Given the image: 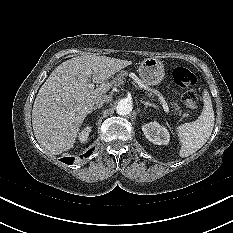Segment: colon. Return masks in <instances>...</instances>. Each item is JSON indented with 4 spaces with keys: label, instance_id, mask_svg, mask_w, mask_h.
<instances>
[{
    "label": "colon",
    "instance_id": "5ec220e1",
    "mask_svg": "<svg viewBox=\"0 0 233 233\" xmlns=\"http://www.w3.org/2000/svg\"><path fill=\"white\" fill-rule=\"evenodd\" d=\"M172 77L177 86L183 90L182 100L192 110H197L195 86L197 78L194 73L184 67H177L172 72Z\"/></svg>",
    "mask_w": 233,
    "mask_h": 233
}]
</instances>
